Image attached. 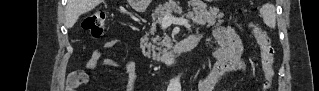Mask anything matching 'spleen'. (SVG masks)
Listing matches in <instances>:
<instances>
[{
  "mask_svg": "<svg viewBox=\"0 0 319 91\" xmlns=\"http://www.w3.org/2000/svg\"><path fill=\"white\" fill-rule=\"evenodd\" d=\"M260 14L263 18V22L270 28L274 29L276 26V12L275 7L270 4H264L260 9Z\"/></svg>",
  "mask_w": 319,
  "mask_h": 91,
  "instance_id": "obj_1",
  "label": "spleen"
}]
</instances>
